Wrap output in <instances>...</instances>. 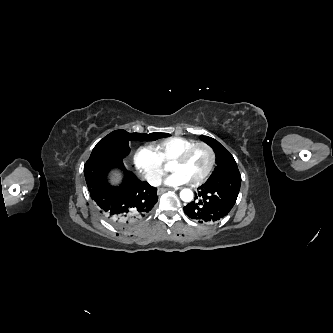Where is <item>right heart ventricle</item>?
I'll return each instance as SVG.
<instances>
[{"label":"right heart ventricle","mask_w":333,"mask_h":333,"mask_svg":"<svg viewBox=\"0 0 333 333\" xmlns=\"http://www.w3.org/2000/svg\"><path fill=\"white\" fill-rule=\"evenodd\" d=\"M194 143L195 141L184 137L172 136L155 142L152 149L162 162L170 163L179 153Z\"/></svg>","instance_id":"right-heart-ventricle-1"}]
</instances>
